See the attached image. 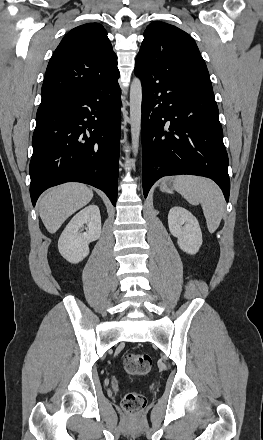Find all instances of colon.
<instances>
[{"instance_id": "obj_1", "label": "colon", "mask_w": 263, "mask_h": 440, "mask_svg": "<svg viewBox=\"0 0 263 440\" xmlns=\"http://www.w3.org/2000/svg\"><path fill=\"white\" fill-rule=\"evenodd\" d=\"M153 365L151 355L147 353H128L124 357L125 371L132 376L147 374ZM147 404L146 397L139 392H127L122 399L123 409L130 414L141 413Z\"/></svg>"}]
</instances>
